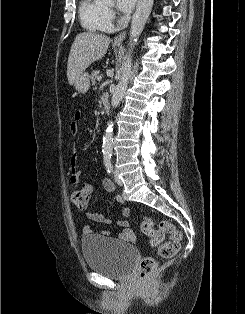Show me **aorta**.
<instances>
[{"mask_svg": "<svg viewBox=\"0 0 245 314\" xmlns=\"http://www.w3.org/2000/svg\"><path fill=\"white\" fill-rule=\"evenodd\" d=\"M154 0H138L136 11L133 15L131 28H130V42L131 48L137 43L141 35L146 21L151 13ZM132 59L129 54L122 63L121 77L113 93L111 105L116 108L120 101L123 99L127 90L130 73H131ZM102 151L104 155H110L113 150V121L107 122V128L103 136Z\"/></svg>", "mask_w": 245, "mask_h": 314, "instance_id": "762f6f07", "label": "aorta"}]
</instances>
